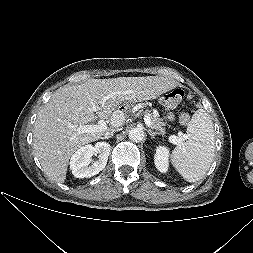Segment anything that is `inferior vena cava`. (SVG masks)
<instances>
[{
	"label": "inferior vena cava",
	"instance_id": "1",
	"mask_svg": "<svg viewBox=\"0 0 253 253\" xmlns=\"http://www.w3.org/2000/svg\"><path fill=\"white\" fill-rule=\"evenodd\" d=\"M119 130H121V129L120 128L119 129H112L110 131H107L104 135H105V137L113 136L114 132L119 131Z\"/></svg>",
	"mask_w": 253,
	"mask_h": 253
}]
</instances>
